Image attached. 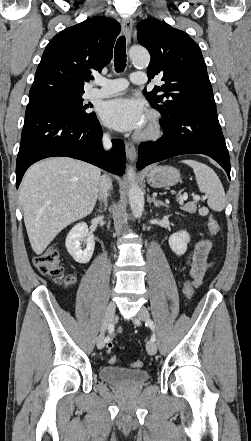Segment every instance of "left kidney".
<instances>
[{
  "label": "left kidney",
  "instance_id": "1",
  "mask_svg": "<svg viewBox=\"0 0 251 441\" xmlns=\"http://www.w3.org/2000/svg\"><path fill=\"white\" fill-rule=\"evenodd\" d=\"M190 241V236L186 231H179L169 237V246L172 251L178 255H183L187 250V244Z\"/></svg>",
  "mask_w": 251,
  "mask_h": 441
}]
</instances>
